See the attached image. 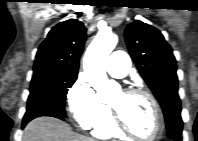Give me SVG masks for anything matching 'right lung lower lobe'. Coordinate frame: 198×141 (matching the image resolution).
Wrapping results in <instances>:
<instances>
[{
    "instance_id": "right-lung-lower-lobe-1",
    "label": "right lung lower lobe",
    "mask_w": 198,
    "mask_h": 141,
    "mask_svg": "<svg viewBox=\"0 0 198 141\" xmlns=\"http://www.w3.org/2000/svg\"><path fill=\"white\" fill-rule=\"evenodd\" d=\"M39 116H51V117H56V118H59L61 120H65L66 118L63 117V116H60L58 114H55V113H50V112H46V111H34V115L32 116L33 119L36 118V117H39ZM32 120V119H31ZM31 120H26V121H23V124H22V127L24 128L25 125L31 121Z\"/></svg>"
}]
</instances>
